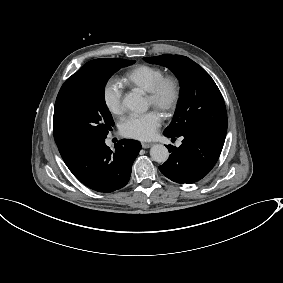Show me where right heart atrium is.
<instances>
[{"label": "right heart atrium", "mask_w": 283, "mask_h": 283, "mask_svg": "<svg viewBox=\"0 0 283 283\" xmlns=\"http://www.w3.org/2000/svg\"><path fill=\"white\" fill-rule=\"evenodd\" d=\"M103 103L112 115H119L123 112L124 88L117 77H109L102 86Z\"/></svg>", "instance_id": "d8ad5b80"}]
</instances>
